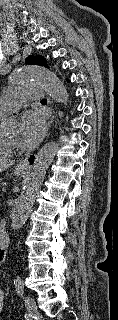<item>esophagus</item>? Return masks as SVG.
Wrapping results in <instances>:
<instances>
[{
	"instance_id": "obj_1",
	"label": "esophagus",
	"mask_w": 118,
	"mask_h": 320,
	"mask_svg": "<svg viewBox=\"0 0 118 320\" xmlns=\"http://www.w3.org/2000/svg\"><path fill=\"white\" fill-rule=\"evenodd\" d=\"M54 121V116H52L49 124L51 125ZM37 156L35 154L28 155L25 159L20 162L22 168H31L36 162Z\"/></svg>"
}]
</instances>
